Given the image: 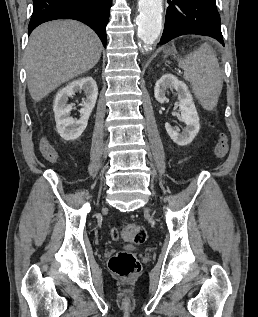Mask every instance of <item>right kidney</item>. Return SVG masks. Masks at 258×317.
Segmentation results:
<instances>
[{"label": "right kidney", "mask_w": 258, "mask_h": 317, "mask_svg": "<svg viewBox=\"0 0 258 317\" xmlns=\"http://www.w3.org/2000/svg\"><path fill=\"white\" fill-rule=\"evenodd\" d=\"M77 90H84L86 100H83V108H80V118H72L70 110H72L73 106L72 104H67L68 96H72ZM97 94L98 86L92 76H84V78L72 80V82H69L67 86L57 92L54 98L53 110L57 132L64 140H75L82 134L87 126L92 108L95 106Z\"/></svg>", "instance_id": "right-kidney-1"}]
</instances>
